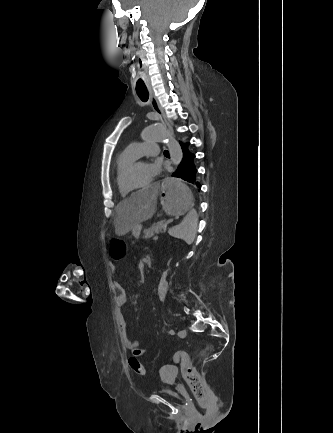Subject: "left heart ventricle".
Masks as SVG:
<instances>
[{"label":"left heart ventricle","instance_id":"b2bd125f","mask_svg":"<svg viewBox=\"0 0 333 433\" xmlns=\"http://www.w3.org/2000/svg\"><path fill=\"white\" fill-rule=\"evenodd\" d=\"M149 181V163H138L129 177L132 186H139Z\"/></svg>","mask_w":333,"mask_h":433}]
</instances>
